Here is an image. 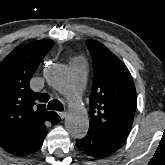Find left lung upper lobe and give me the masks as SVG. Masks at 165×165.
Returning <instances> with one entry per match:
<instances>
[{"instance_id":"obj_1","label":"left lung upper lobe","mask_w":165,"mask_h":165,"mask_svg":"<svg viewBox=\"0 0 165 165\" xmlns=\"http://www.w3.org/2000/svg\"><path fill=\"white\" fill-rule=\"evenodd\" d=\"M86 45L93 60L89 128L123 142L132 126L137 103L131 74L102 43L87 40Z\"/></svg>"}]
</instances>
